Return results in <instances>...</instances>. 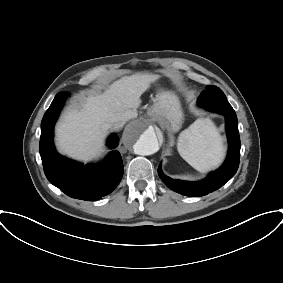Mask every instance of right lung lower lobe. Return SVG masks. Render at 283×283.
Wrapping results in <instances>:
<instances>
[{"mask_svg": "<svg viewBox=\"0 0 283 283\" xmlns=\"http://www.w3.org/2000/svg\"><path fill=\"white\" fill-rule=\"evenodd\" d=\"M67 92L55 96L41 122L39 151L45 175L49 182L66 195L95 201L111 193L123 176V163L120 154L113 151L102 165H83L59 155L53 145L54 124L61 111ZM110 147L118 144L116 135L108 140Z\"/></svg>", "mask_w": 283, "mask_h": 283, "instance_id": "1", "label": "right lung lower lobe"}]
</instances>
